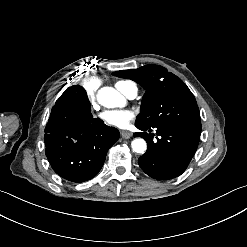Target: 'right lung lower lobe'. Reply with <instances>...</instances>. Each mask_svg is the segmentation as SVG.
Returning a JSON list of instances; mask_svg holds the SVG:
<instances>
[{
  "mask_svg": "<svg viewBox=\"0 0 247 247\" xmlns=\"http://www.w3.org/2000/svg\"><path fill=\"white\" fill-rule=\"evenodd\" d=\"M119 136L116 128L93 118L91 109L62 94L45 128L46 156L60 177L84 182L98 174L108 149Z\"/></svg>",
  "mask_w": 247,
  "mask_h": 247,
  "instance_id": "obj_1",
  "label": "right lung lower lobe"
}]
</instances>
